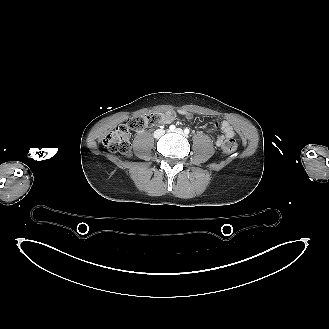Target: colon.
Masks as SVG:
<instances>
[{"label": "colon", "mask_w": 329, "mask_h": 329, "mask_svg": "<svg viewBox=\"0 0 329 329\" xmlns=\"http://www.w3.org/2000/svg\"><path fill=\"white\" fill-rule=\"evenodd\" d=\"M175 117L172 112L147 113L131 117L126 122L120 123L114 130L104 136V145L112 152L129 157L131 155L130 131H142L148 127L157 126L167 118ZM237 147L235 138L226 139L221 145V152L224 155L232 154Z\"/></svg>", "instance_id": "1"}]
</instances>
